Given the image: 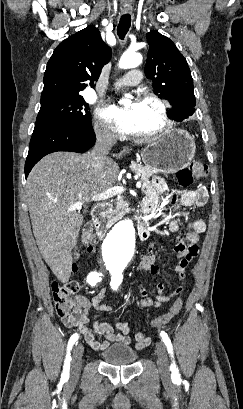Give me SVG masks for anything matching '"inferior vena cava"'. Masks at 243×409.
Listing matches in <instances>:
<instances>
[{
  "label": "inferior vena cava",
  "instance_id": "1",
  "mask_svg": "<svg viewBox=\"0 0 243 409\" xmlns=\"http://www.w3.org/2000/svg\"><path fill=\"white\" fill-rule=\"evenodd\" d=\"M116 143V136L105 129H96V142L85 159L94 172L100 171L112 146Z\"/></svg>",
  "mask_w": 243,
  "mask_h": 409
}]
</instances>
